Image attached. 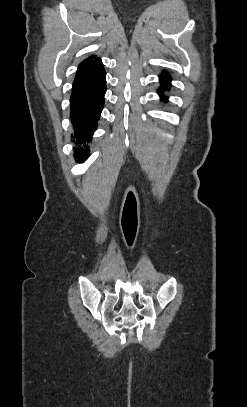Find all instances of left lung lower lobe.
<instances>
[{"label":"left lung lower lobe","instance_id":"obj_1","mask_svg":"<svg viewBox=\"0 0 247 407\" xmlns=\"http://www.w3.org/2000/svg\"><path fill=\"white\" fill-rule=\"evenodd\" d=\"M171 77L167 74H163L160 77L161 88L158 90V94L164 101L168 100V97L164 96V91L169 90L171 86Z\"/></svg>","mask_w":247,"mask_h":407}]
</instances>
